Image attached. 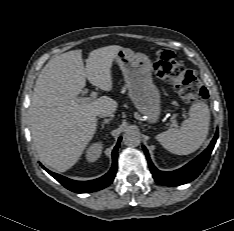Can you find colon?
I'll use <instances>...</instances> for the list:
<instances>
[{
    "instance_id": "5ec220e1",
    "label": "colon",
    "mask_w": 234,
    "mask_h": 231,
    "mask_svg": "<svg viewBox=\"0 0 234 231\" xmlns=\"http://www.w3.org/2000/svg\"><path fill=\"white\" fill-rule=\"evenodd\" d=\"M153 69L159 78L173 85L183 101L191 103L208 97V91L200 83L197 75L185 69L173 52L168 50L159 52Z\"/></svg>"
}]
</instances>
